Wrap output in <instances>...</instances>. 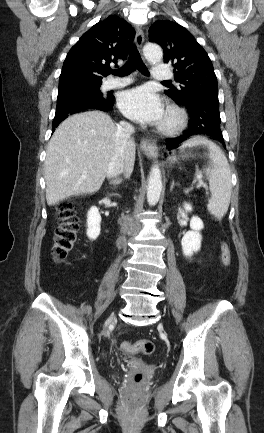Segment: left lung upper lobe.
<instances>
[{
  "instance_id": "obj_1",
  "label": "left lung upper lobe",
  "mask_w": 264,
  "mask_h": 433,
  "mask_svg": "<svg viewBox=\"0 0 264 433\" xmlns=\"http://www.w3.org/2000/svg\"><path fill=\"white\" fill-rule=\"evenodd\" d=\"M150 41L161 45L164 62L174 66L175 81L180 88L165 90L176 103L205 97L218 100L217 78L213 65L193 35L181 25L168 20L150 27Z\"/></svg>"
}]
</instances>
